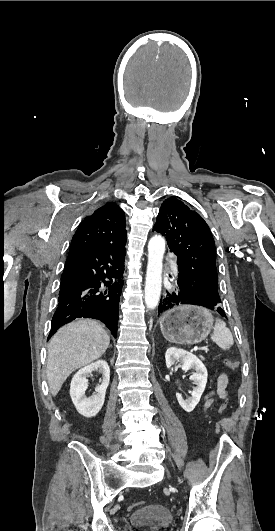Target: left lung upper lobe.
<instances>
[{
  "mask_svg": "<svg viewBox=\"0 0 275 531\" xmlns=\"http://www.w3.org/2000/svg\"><path fill=\"white\" fill-rule=\"evenodd\" d=\"M153 231L165 236L170 251L177 256V288L196 304L217 306L221 300L215 243L204 219L182 201L170 197L162 203Z\"/></svg>",
  "mask_w": 275,
  "mask_h": 531,
  "instance_id": "5c2ea615",
  "label": "left lung upper lobe"
}]
</instances>
